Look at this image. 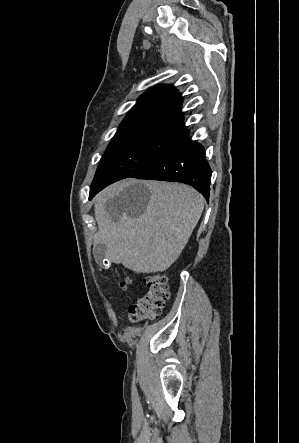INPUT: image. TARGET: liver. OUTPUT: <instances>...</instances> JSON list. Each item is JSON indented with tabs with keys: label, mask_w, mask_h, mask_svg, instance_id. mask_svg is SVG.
<instances>
[{
	"label": "liver",
	"mask_w": 299,
	"mask_h": 443,
	"mask_svg": "<svg viewBox=\"0 0 299 443\" xmlns=\"http://www.w3.org/2000/svg\"><path fill=\"white\" fill-rule=\"evenodd\" d=\"M130 186L131 198L124 202L120 195ZM94 201L98 224L94 245H106L108 260L136 273L167 270L181 254L204 209V199L195 189L160 181L116 183Z\"/></svg>",
	"instance_id": "liver-1"
}]
</instances>
